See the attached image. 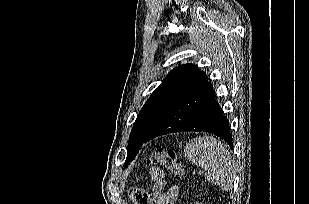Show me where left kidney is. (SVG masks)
I'll return each mask as SVG.
<instances>
[{
	"label": "left kidney",
	"mask_w": 309,
	"mask_h": 204,
	"mask_svg": "<svg viewBox=\"0 0 309 204\" xmlns=\"http://www.w3.org/2000/svg\"><path fill=\"white\" fill-rule=\"evenodd\" d=\"M194 204H202V203L196 202V203H194Z\"/></svg>",
	"instance_id": "1"
}]
</instances>
